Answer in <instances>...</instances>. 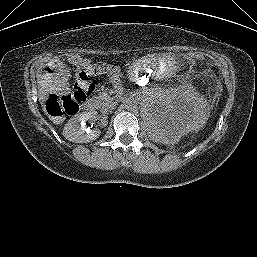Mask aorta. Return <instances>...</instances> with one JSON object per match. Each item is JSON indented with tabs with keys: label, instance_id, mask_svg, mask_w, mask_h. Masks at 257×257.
I'll return each instance as SVG.
<instances>
[{
	"label": "aorta",
	"instance_id": "aorta-1",
	"mask_svg": "<svg viewBox=\"0 0 257 257\" xmlns=\"http://www.w3.org/2000/svg\"><path fill=\"white\" fill-rule=\"evenodd\" d=\"M125 107H126L127 110L132 111L137 107V102L134 99H128L125 102Z\"/></svg>",
	"mask_w": 257,
	"mask_h": 257
}]
</instances>
